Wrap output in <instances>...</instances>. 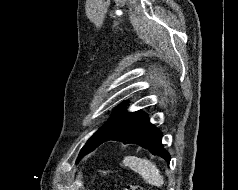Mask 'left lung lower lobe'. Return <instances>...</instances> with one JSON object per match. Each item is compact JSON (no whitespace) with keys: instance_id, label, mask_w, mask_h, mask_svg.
Segmentation results:
<instances>
[{"instance_id":"left-lung-lower-lobe-1","label":"left lung lower lobe","mask_w":238,"mask_h":190,"mask_svg":"<svg viewBox=\"0 0 238 190\" xmlns=\"http://www.w3.org/2000/svg\"><path fill=\"white\" fill-rule=\"evenodd\" d=\"M109 140L120 141L124 144H138L170 162V155L161 142L162 132L150 123L148 114L144 111H125L104 137L102 143Z\"/></svg>"}]
</instances>
